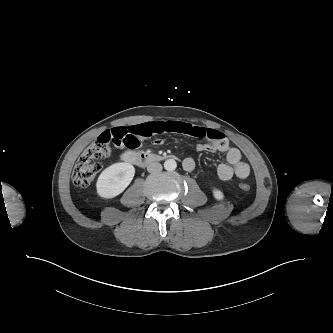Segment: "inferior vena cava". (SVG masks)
<instances>
[{
    "instance_id": "1",
    "label": "inferior vena cava",
    "mask_w": 333,
    "mask_h": 333,
    "mask_svg": "<svg viewBox=\"0 0 333 333\" xmlns=\"http://www.w3.org/2000/svg\"><path fill=\"white\" fill-rule=\"evenodd\" d=\"M161 170H162V165L158 162L150 163L147 167V171L149 173H157L160 172Z\"/></svg>"
}]
</instances>
